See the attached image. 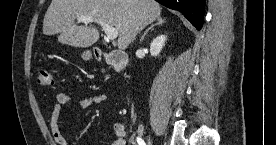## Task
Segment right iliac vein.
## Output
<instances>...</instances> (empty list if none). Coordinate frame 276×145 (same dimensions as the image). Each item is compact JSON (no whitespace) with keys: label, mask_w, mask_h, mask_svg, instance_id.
<instances>
[{"label":"right iliac vein","mask_w":276,"mask_h":145,"mask_svg":"<svg viewBox=\"0 0 276 145\" xmlns=\"http://www.w3.org/2000/svg\"><path fill=\"white\" fill-rule=\"evenodd\" d=\"M148 144H152V141H151V139H150V138L148 139Z\"/></svg>","instance_id":"1"}]
</instances>
